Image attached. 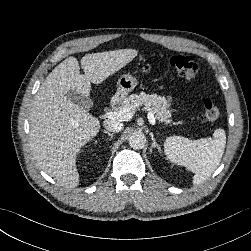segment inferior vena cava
Wrapping results in <instances>:
<instances>
[{
	"label": "inferior vena cava",
	"mask_w": 251,
	"mask_h": 251,
	"mask_svg": "<svg viewBox=\"0 0 251 251\" xmlns=\"http://www.w3.org/2000/svg\"><path fill=\"white\" fill-rule=\"evenodd\" d=\"M103 125L106 130L111 132H120L123 129V123L115 120H105Z\"/></svg>",
	"instance_id": "inferior-vena-cava-1"
}]
</instances>
